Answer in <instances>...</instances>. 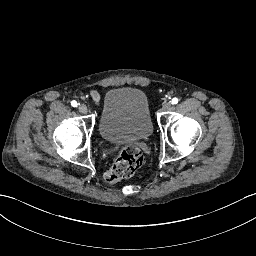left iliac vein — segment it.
Instances as JSON below:
<instances>
[{
  "label": "left iliac vein",
  "mask_w": 256,
  "mask_h": 256,
  "mask_svg": "<svg viewBox=\"0 0 256 256\" xmlns=\"http://www.w3.org/2000/svg\"><path fill=\"white\" fill-rule=\"evenodd\" d=\"M171 107H172V105H171L170 102H167V101H166V102H163V104H162V110H164V111L170 110Z\"/></svg>",
  "instance_id": "left-iliac-vein-1"
}]
</instances>
